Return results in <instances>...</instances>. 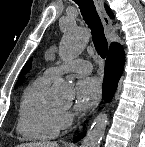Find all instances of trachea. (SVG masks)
<instances>
[{"instance_id":"obj_1","label":"trachea","mask_w":145,"mask_h":147,"mask_svg":"<svg viewBox=\"0 0 145 147\" xmlns=\"http://www.w3.org/2000/svg\"><path fill=\"white\" fill-rule=\"evenodd\" d=\"M75 2L78 4L85 22L91 29L92 40L97 53L102 58H105L108 51V43L93 0H75Z\"/></svg>"}]
</instances>
